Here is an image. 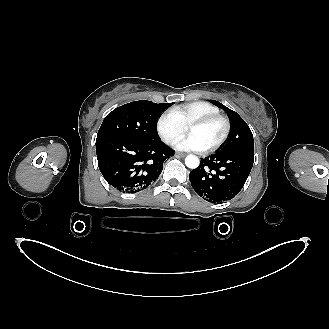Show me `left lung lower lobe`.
Masks as SVG:
<instances>
[{
    "mask_svg": "<svg viewBox=\"0 0 329 329\" xmlns=\"http://www.w3.org/2000/svg\"><path fill=\"white\" fill-rule=\"evenodd\" d=\"M254 154L217 152L202 158L189 179L193 189L203 199L222 203L234 198L243 188L252 169Z\"/></svg>",
    "mask_w": 329,
    "mask_h": 329,
    "instance_id": "left-lung-lower-lobe-1",
    "label": "left lung lower lobe"
}]
</instances>
